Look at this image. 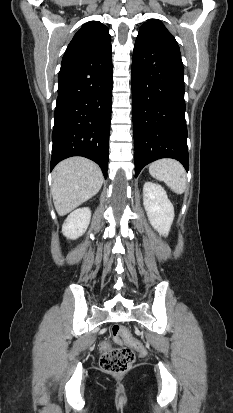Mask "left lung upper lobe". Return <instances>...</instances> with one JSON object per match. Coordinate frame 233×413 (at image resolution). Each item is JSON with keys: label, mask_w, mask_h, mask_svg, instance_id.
<instances>
[{"label": "left lung upper lobe", "mask_w": 233, "mask_h": 413, "mask_svg": "<svg viewBox=\"0 0 233 413\" xmlns=\"http://www.w3.org/2000/svg\"><path fill=\"white\" fill-rule=\"evenodd\" d=\"M151 40L167 43L179 49L174 36L157 19H148L146 23L141 25L136 42L145 43Z\"/></svg>", "instance_id": "obj_1"}]
</instances>
